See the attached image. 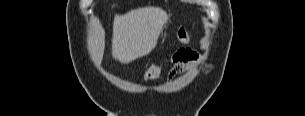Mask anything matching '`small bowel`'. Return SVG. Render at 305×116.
I'll return each instance as SVG.
<instances>
[{
  "instance_id": "small-bowel-1",
  "label": "small bowel",
  "mask_w": 305,
  "mask_h": 116,
  "mask_svg": "<svg viewBox=\"0 0 305 116\" xmlns=\"http://www.w3.org/2000/svg\"><path fill=\"white\" fill-rule=\"evenodd\" d=\"M198 60V53L190 49H186L184 57L174 59V66L167 75V81H171L178 74L195 67Z\"/></svg>"
}]
</instances>
